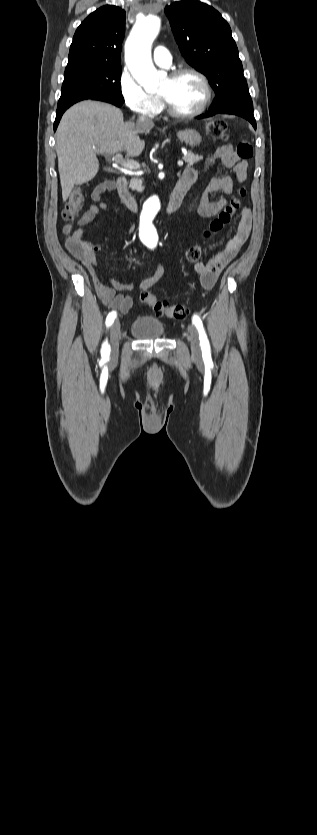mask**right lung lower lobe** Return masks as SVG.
<instances>
[{
  "label": "right lung lower lobe",
  "instance_id": "98d812e1",
  "mask_svg": "<svg viewBox=\"0 0 317 835\" xmlns=\"http://www.w3.org/2000/svg\"><path fill=\"white\" fill-rule=\"evenodd\" d=\"M93 100H99V101L108 102V103L114 104V105H116V106H118V107H120V106L123 104V101H121V100H119V99H116V98H114V97H111V96H98V97L93 98ZM71 105H72V104H70V105H66V106H62V107H58V108H57V111H56V119H55V122H54V131L57 129V126H58V124H59V121H60V119H61L62 114H63V113L65 112V110H66L67 108H69Z\"/></svg>",
  "mask_w": 317,
  "mask_h": 835
}]
</instances>
